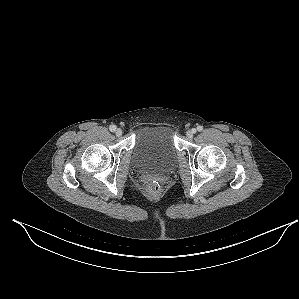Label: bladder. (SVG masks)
<instances>
[{"label": "bladder", "instance_id": "obj_1", "mask_svg": "<svg viewBox=\"0 0 299 299\" xmlns=\"http://www.w3.org/2000/svg\"><path fill=\"white\" fill-rule=\"evenodd\" d=\"M177 157L175 134L170 126H143L135 132L132 163L137 171L169 172L175 167Z\"/></svg>", "mask_w": 299, "mask_h": 299}]
</instances>
